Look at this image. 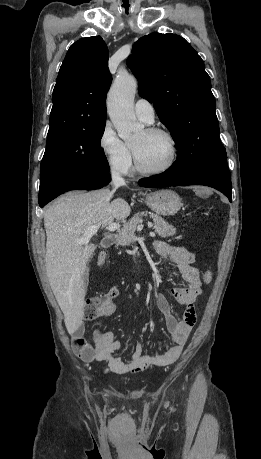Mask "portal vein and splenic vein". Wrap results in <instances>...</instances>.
Wrapping results in <instances>:
<instances>
[{"label":"portal vein and splenic vein","mask_w":261,"mask_h":459,"mask_svg":"<svg viewBox=\"0 0 261 459\" xmlns=\"http://www.w3.org/2000/svg\"><path fill=\"white\" fill-rule=\"evenodd\" d=\"M152 223H148V227L149 228H152ZM99 227L100 225L99 224H94L90 227L87 228V230L84 232L83 236L79 239L76 240V242L78 244H81V245H86L89 243L90 239L92 238L93 235H95L98 230H99ZM120 224L119 223H111L109 224L106 229L109 230V231H115V230H118L120 228ZM143 228V225H139L137 230H142Z\"/></svg>","instance_id":"18ae733b"}]
</instances>
